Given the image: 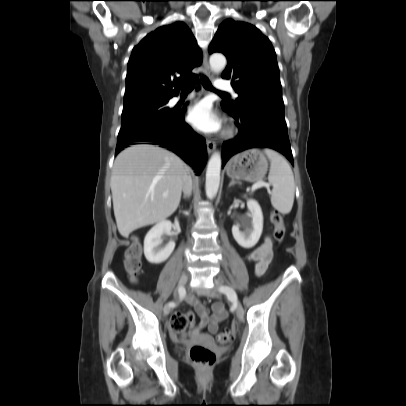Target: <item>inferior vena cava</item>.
<instances>
[{
    "instance_id": "602c4592",
    "label": "inferior vena cava",
    "mask_w": 406,
    "mask_h": 406,
    "mask_svg": "<svg viewBox=\"0 0 406 406\" xmlns=\"http://www.w3.org/2000/svg\"><path fill=\"white\" fill-rule=\"evenodd\" d=\"M182 189L184 196L189 197L192 193V178L189 174V170L186 169L184 171L183 177H182Z\"/></svg>"
}]
</instances>
